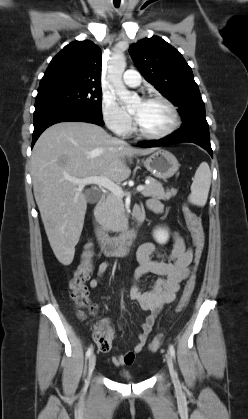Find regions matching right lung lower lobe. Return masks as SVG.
<instances>
[{"mask_svg": "<svg viewBox=\"0 0 248 419\" xmlns=\"http://www.w3.org/2000/svg\"><path fill=\"white\" fill-rule=\"evenodd\" d=\"M63 121H81L100 126L104 125L102 116L95 115L84 108L74 105H54L35 109L32 147L46 128Z\"/></svg>", "mask_w": 248, "mask_h": 419, "instance_id": "98d812e1", "label": "right lung lower lobe"}]
</instances>
